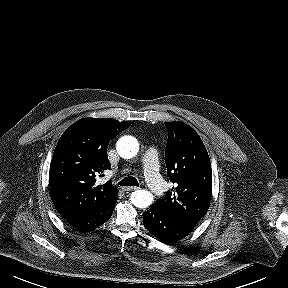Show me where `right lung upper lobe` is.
I'll return each instance as SVG.
<instances>
[{
    "instance_id": "cb5924a9",
    "label": "right lung upper lobe",
    "mask_w": 288,
    "mask_h": 288,
    "mask_svg": "<svg viewBox=\"0 0 288 288\" xmlns=\"http://www.w3.org/2000/svg\"><path fill=\"white\" fill-rule=\"evenodd\" d=\"M131 122L84 118L72 124L55 148L49 171L51 199L64 219L86 215L117 197L111 181L96 185V177L111 169L107 147Z\"/></svg>"
}]
</instances>
